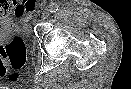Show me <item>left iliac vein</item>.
<instances>
[{
	"instance_id": "obj_1",
	"label": "left iliac vein",
	"mask_w": 131,
	"mask_h": 89,
	"mask_svg": "<svg viewBox=\"0 0 131 89\" xmlns=\"http://www.w3.org/2000/svg\"><path fill=\"white\" fill-rule=\"evenodd\" d=\"M49 10L48 9H45L44 11H43V13H42V16H41V18L43 19V20H45V19H47L48 17H49Z\"/></svg>"
}]
</instances>
